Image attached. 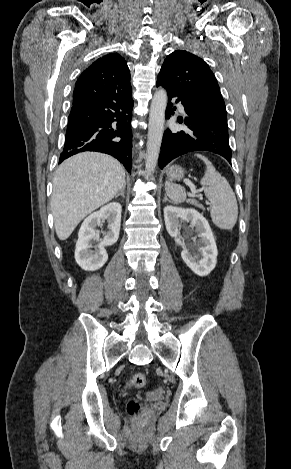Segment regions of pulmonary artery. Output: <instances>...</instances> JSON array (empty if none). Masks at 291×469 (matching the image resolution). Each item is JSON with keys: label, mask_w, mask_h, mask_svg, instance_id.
Wrapping results in <instances>:
<instances>
[{"label": "pulmonary artery", "mask_w": 291, "mask_h": 469, "mask_svg": "<svg viewBox=\"0 0 291 469\" xmlns=\"http://www.w3.org/2000/svg\"><path fill=\"white\" fill-rule=\"evenodd\" d=\"M178 107H179L180 111L184 112V107H183L182 104L179 103V104H178Z\"/></svg>", "instance_id": "e3ab8cb5"}]
</instances>
